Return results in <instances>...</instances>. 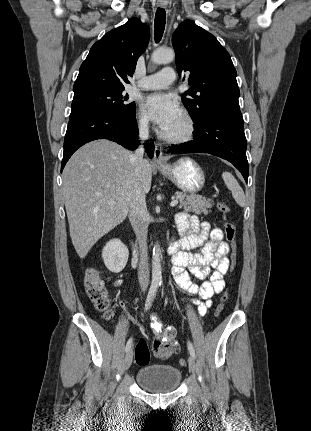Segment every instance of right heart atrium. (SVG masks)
<instances>
[{"instance_id":"1","label":"right heart atrium","mask_w":311,"mask_h":431,"mask_svg":"<svg viewBox=\"0 0 311 431\" xmlns=\"http://www.w3.org/2000/svg\"><path fill=\"white\" fill-rule=\"evenodd\" d=\"M134 125L136 131L143 135L148 136L151 132V122L149 117L140 109L135 112Z\"/></svg>"}]
</instances>
